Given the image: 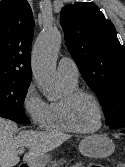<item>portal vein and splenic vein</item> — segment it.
Segmentation results:
<instances>
[{"mask_svg":"<svg viewBox=\"0 0 125 167\" xmlns=\"http://www.w3.org/2000/svg\"><path fill=\"white\" fill-rule=\"evenodd\" d=\"M23 151H24V148H21V149H20V152H23Z\"/></svg>","mask_w":125,"mask_h":167,"instance_id":"18ae733b","label":"portal vein and splenic vein"}]
</instances>
